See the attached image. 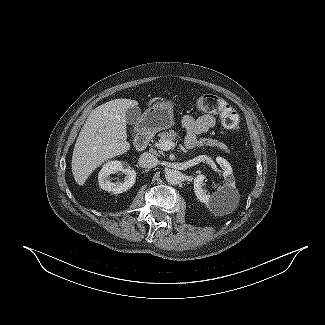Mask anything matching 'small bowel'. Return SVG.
<instances>
[{"label":"small bowel","mask_w":325,"mask_h":325,"mask_svg":"<svg viewBox=\"0 0 325 325\" xmlns=\"http://www.w3.org/2000/svg\"><path fill=\"white\" fill-rule=\"evenodd\" d=\"M181 125L186 130L185 145L187 148H193L197 143L198 135L213 128L216 119L211 114H204L198 118L191 115H184L181 118Z\"/></svg>","instance_id":"obj_1"}]
</instances>
